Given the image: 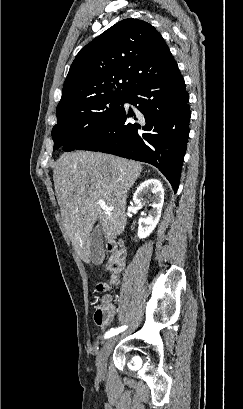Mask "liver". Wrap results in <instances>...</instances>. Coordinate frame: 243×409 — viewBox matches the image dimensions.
Instances as JSON below:
<instances>
[{
  "mask_svg": "<svg viewBox=\"0 0 243 409\" xmlns=\"http://www.w3.org/2000/svg\"><path fill=\"white\" fill-rule=\"evenodd\" d=\"M142 169L138 162L90 151L65 153L57 160L53 180L62 220L86 263L91 260L90 233L97 220L106 240L123 233L127 194ZM98 200L110 210H102Z\"/></svg>",
  "mask_w": 243,
  "mask_h": 409,
  "instance_id": "liver-1",
  "label": "liver"
}]
</instances>
